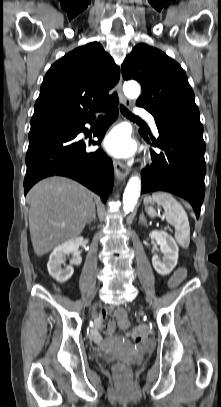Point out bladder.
I'll return each mask as SVG.
<instances>
[{
	"label": "bladder",
	"instance_id": "obj_1",
	"mask_svg": "<svg viewBox=\"0 0 221 407\" xmlns=\"http://www.w3.org/2000/svg\"><path fill=\"white\" fill-rule=\"evenodd\" d=\"M121 344H122V340H121V339H119V338H117V337L110 338V339L107 341V345H106L105 350H106L108 353H112V352H114V351L117 349V347H118L119 345H121Z\"/></svg>",
	"mask_w": 221,
	"mask_h": 407
}]
</instances>
